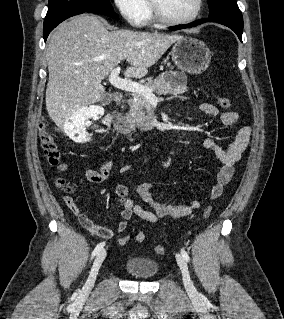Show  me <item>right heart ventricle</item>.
Instances as JSON below:
<instances>
[{
	"label": "right heart ventricle",
	"mask_w": 284,
	"mask_h": 319,
	"mask_svg": "<svg viewBox=\"0 0 284 319\" xmlns=\"http://www.w3.org/2000/svg\"><path fill=\"white\" fill-rule=\"evenodd\" d=\"M153 15H152V12H151V9L149 7V11L147 13V16H146V19H145V22L144 23H151L153 21Z\"/></svg>",
	"instance_id": "obj_1"
}]
</instances>
